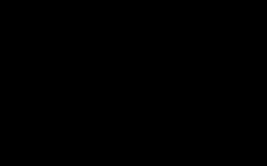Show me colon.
Here are the masks:
<instances>
[{"instance_id":"obj_1","label":"colon","mask_w":267,"mask_h":166,"mask_svg":"<svg viewBox=\"0 0 267 166\" xmlns=\"http://www.w3.org/2000/svg\"><path fill=\"white\" fill-rule=\"evenodd\" d=\"M79 63L80 62L78 59L62 63L59 67V74L63 77L70 75V73L74 70L75 67L78 66ZM201 77L203 78V75Z\"/></svg>"}]
</instances>
